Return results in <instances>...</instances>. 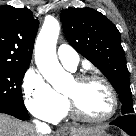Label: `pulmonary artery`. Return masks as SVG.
<instances>
[{
    "label": "pulmonary artery",
    "instance_id": "obj_1",
    "mask_svg": "<svg viewBox=\"0 0 136 136\" xmlns=\"http://www.w3.org/2000/svg\"><path fill=\"white\" fill-rule=\"evenodd\" d=\"M60 62L70 70H75L79 63V56L77 52L69 45L62 44L57 50Z\"/></svg>",
    "mask_w": 136,
    "mask_h": 136
}]
</instances>
